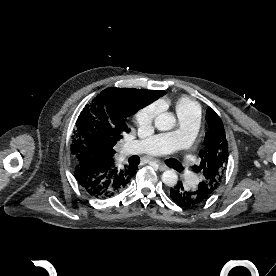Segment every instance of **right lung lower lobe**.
Instances as JSON below:
<instances>
[{"instance_id": "right-lung-lower-lobe-1", "label": "right lung lower lobe", "mask_w": 276, "mask_h": 276, "mask_svg": "<svg viewBox=\"0 0 276 276\" xmlns=\"http://www.w3.org/2000/svg\"><path fill=\"white\" fill-rule=\"evenodd\" d=\"M73 170L83 191L94 198L106 199L119 194L136 174L137 168L119 169L114 162H103L95 156H78Z\"/></svg>"}]
</instances>
